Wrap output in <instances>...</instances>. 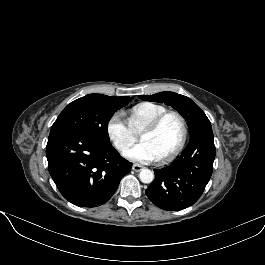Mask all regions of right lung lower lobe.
I'll list each match as a JSON object with an SVG mask.
<instances>
[{"label": "right lung lower lobe", "instance_id": "98d812e1", "mask_svg": "<svg viewBox=\"0 0 265 265\" xmlns=\"http://www.w3.org/2000/svg\"><path fill=\"white\" fill-rule=\"evenodd\" d=\"M46 156L60 193L81 207H97L108 201L132 167L110 142L79 130L50 133Z\"/></svg>", "mask_w": 265, "mask_h": 265}]
</instances>
